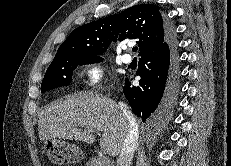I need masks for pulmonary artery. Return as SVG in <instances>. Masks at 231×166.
Wrapping results in <instances>:
<instances>
[{"instance_id":"1","label":"pulmonary artery","mask_w":231,"mask_h":166,"mask_svg":"<svg viewBox=\"0 0 231 166\" xmlns=\"http://www.w3.org/2000/svg\"><path fill=\"white\" fill-rule=\"evenodd\" d=\"M122 61L125 63V64H130L132 62V57L129 55V54H124L122 56Z\"/></svg>"}]
</instances>
